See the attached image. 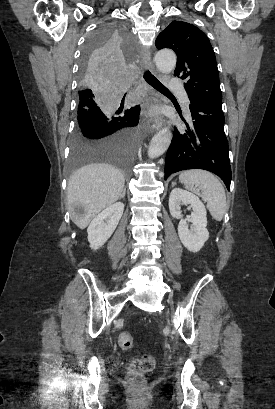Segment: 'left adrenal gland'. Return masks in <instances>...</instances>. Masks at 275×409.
I'll return each instance as SVG.
<instances>
[{"mask_svg": "<svg viewBox=\"0 0 275 409\" xmlns=\"http://www.w3.org/2000/svg\"><path fill=\"white\" fill-rule=\"evenodd\" d=\"M175 184H176V182H175V180H174V182H172V186H175Z\"/></svg>", "mask_w": 275, "mask_h": 409, "instance_id": "left-adrenal-gland-1", "label": "left adrenal gland"}]
</instances>
